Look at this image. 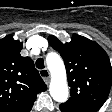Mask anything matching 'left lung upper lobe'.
Here are the masks:
<instances>
[{
    "mask_svg": "<svg viewBox=\"0 0 112 112\" xmlns=\"http://www.w3.org/2000/svg\"><path fill=\"white\" fill-rule=\"evenodd\" d=\"M53 49L62 56L70 98L60 105L62 112H97L106 101L112 84L108 55L96 42L73 34L69 43L48 37Z\"/></svg>",
    "mask_w": 112,
    "mask_h": 112,
    "instance_id": "obj_1",
    "label": "left lung upper lobe"
}]
</instances>
